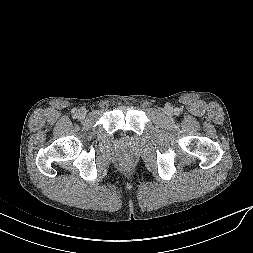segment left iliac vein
Here are the masks:
<instances>
[{"mask_svg": "<svg viewBox=\"0 0 253 253\" xmlns=\"http://www.w3.org/2000/svg\"><path fill=\"white\" fill-rule=\"evenodd\" d=\"M166 112H167V113H170V109H166Z\"/></svg>", "mask_w": 253, "mask_h": 253, "instance_id": "obj_1", "label": "left iliac vein"}]
</instances>
